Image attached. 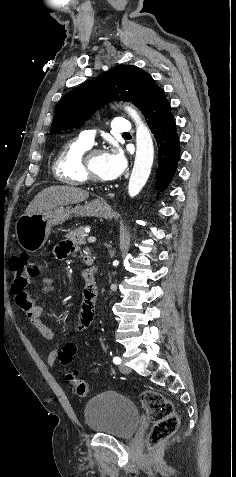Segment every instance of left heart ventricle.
<instances>
[{
    "instance_id": "left-heart-ventricle-1",
    "label": "left heart ventricle",
    "mask_w": 236,
    "mask_h": 477,
    "mask_svg": "<svg viewBox=\"0 0 236 477\" xmlns=\"http://www.w3.org/2000/svg\"><path fill=\"white\" fill-rule=\"evenodd\" d=\"M89 167L94 176L108 180L104 165V154L92 156L89 160Z\"/></svg>"
}]
</instances>
